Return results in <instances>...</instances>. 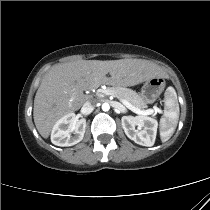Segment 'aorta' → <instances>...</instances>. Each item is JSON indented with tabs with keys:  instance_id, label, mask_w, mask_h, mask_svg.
<instances>
[{
	"instance_id": "obj_1",
	"label": "aorta",
	"mask_w": 210,
	"mask_h": 210,
	"mask_svg": "<svg viewBox=\"0 0 210 210\" xmlns=\"http://www.w3.org/2000/svg\"><path fill=\"white\" fill-rule=\"evenodd\" d=\"M109 109H110V105L108 104V103H103L102 104V110L103 111H109Z\"/></svg>"
}]
</instances>
